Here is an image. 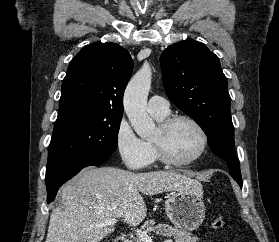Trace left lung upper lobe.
Returning <instances> with one entry per match:
<instances>
[{"label":"left lung upper lobe","mask_w":279,"mask_h":242,"mask_svg":"<svg viewBox=\"0 0 279 242\" xmlns=\"http://www.w3.org/2000/svg\"><path fill=\"white\" fill-rule=\"evenodd\" d=\"M168 98L204 130L212 152L227 161L229 174L242 182L234 149V126L227 79L218 57L203 43H175L160 56Z\"/></svg>","instance_id":"5c2ea615"}]
</instances>
